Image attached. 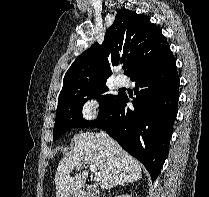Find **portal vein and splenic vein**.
Instances as JSON below:
<instances>
[{"label":"portal vein and splenic vein","mask_w":209,"mask_h":197,"mask_svg":"<svg viewBox=\"0 0 209 197\" xmlns=\"http://www.w3.org/2000/svg\"><path fill=\"white\" fill-rule=\"evenodd\" d=\"M82 165L77 166V168L81 167ZM90 170L94 173V180L100 181L101 180V174L97 171V167L95 164H90Z\"/></svg>","instance_id":"obj_1"}]
</instances>
